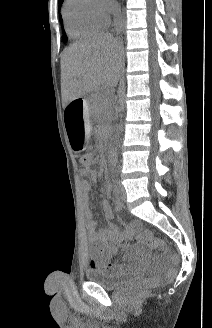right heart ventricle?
Here are the masks:
<instances>
[{
	"mask_svg": "<svg viewBox=\"0 0 212 328\" xmlns=\"http://www.w3.org/2000/svg\"><path fill=\"white\" fill-rule=\"evenodd\" d=\"M63 18L67 33L73 38L91 36L107 23L94 11L91 0H66Z\"/></svg>",
	"mask_w": 212,
	"mask_h": 328,
	"instance_id": "obj_1",
	"label": "right heart ventricle"
}]
</instances>
